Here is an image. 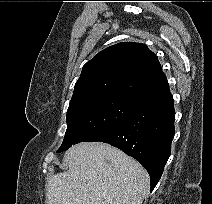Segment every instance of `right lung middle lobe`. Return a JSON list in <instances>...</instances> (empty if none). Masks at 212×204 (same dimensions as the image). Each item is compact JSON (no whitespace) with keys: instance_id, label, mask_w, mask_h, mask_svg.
<instances>
[{"instance_id":"dd1d6c3e","label":"right lung middle lobe","mask_w":212,"mask_h":204,"mask_svg":"<svg viewBox=\"0 0 212 204\" xmlns=\"http://www.w3.org/2000/svg\"><path fill=\"white\" fill-rule=\"evenodd\" d=\"M140 106L138 102L120 97L98 98L69 106L66 134L57 152L79 142L101 138L126 121Z\"/></svg>"}]
</instances>
